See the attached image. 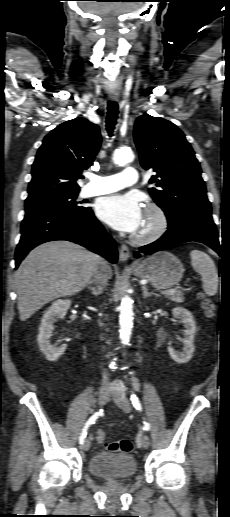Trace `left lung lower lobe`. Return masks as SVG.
<instances>
[{
	"mask_svg": "<svg viewBox=\"0 0 230 517\" xmlns=\"http://www.w3.org/2000/svg\"><path fill=\"white\" fill-rule=\"evenodd\" d=\"M196 241L206 244L215 250L219 255L222 248L218 241V234L211 214H195L186 216L176 224H169L166 233L157 241L142 246L134 253L135 257L149 255L162 249L189 242Z\"/></svg>",
	"mask_w": 230,
	"mask_h": 517,
	"instance_id": "left-lung-lower-lobe-1",
	"label": "left lung lower lobe"
}]
</instances>
